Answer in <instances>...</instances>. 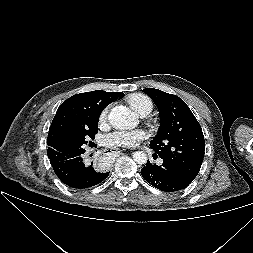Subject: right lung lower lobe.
<instances>
[{"instance_id":"98d812e1","label":"right lung lower lobe","mask_w":253,"mask_h":253,"mask_svg":"<svg viewBox=\"0 0 253 253\" xmlns=\"http://www.w3.org/2000/svg\"><path fill=\"white\" fill-rule=\"evenodd\" d=\"M84 152L85 150L63 155L55 150L47 151L55 174L71 188H90L102 182L109 175V172L103 173L93 164H85L82 155Z\"/></svg>"}]
</instances>
